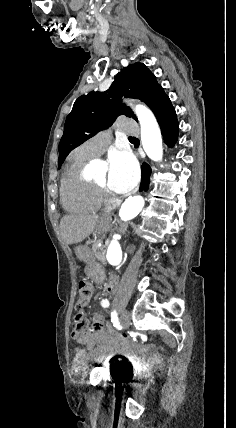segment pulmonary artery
Listing matches in <instances>:
<instances>
[{
	"label": "pulmonary artery",
	"mask_w": 236,
	"mask_h": 428,
	"mask_svg": "<svg viewBox=\"0 0 236 428\" xmlns=\"http://www.w3.org/2000/svg\"><path fill=\"white\" fill-rule=\"evenodd\" d=\"M106 147L107 146H105V145L94 146V145H91L90 142L84 144L85 152L91 158H95V157L99 156L104 151V149Z\"/></svg>",
	"instance_id": "e3ab8cb5"
}]
</instances>
